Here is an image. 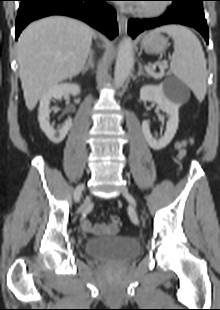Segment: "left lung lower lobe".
<instances>
[{"instance_id": "1", "label": "left lung lower lobe", "mask_w": 220, "mask_h": 310, "mask_svg": "<svg viewBox=\"0 0 220 310\" xmlns=\"http://www.w3.org/2000/svg\"><path fill=\"white\" fill-rule=\"evenodd\" d=\"M172 5L163 16L154 19H130L129 34L135 38L144 30L167 24H181L195 28L208 43V27L203 13V6L196 0H168Z\"/></svg>"}]
</instances>
